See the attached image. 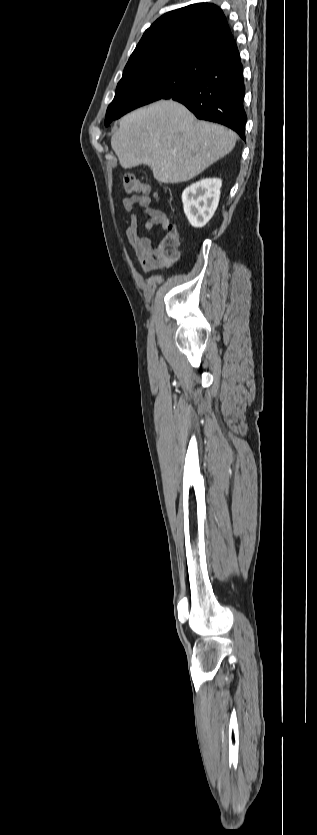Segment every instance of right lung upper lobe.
<instances>
[{
  "label": "right lung upper lobe",
  "mask_w": 317,
  "mask_h": 835,
  "mask_svg": "<svg viewBox=\"0 0 317 835\" xmlns=\"http://www.w3.org/2000/svg\"><path fill=\"white\" fill-rule=\"evenodd\" d=\"M233 41L223 11L198 3L168 12L144 33L123 75L160 63L196 56Z\"/></svg>",
  "instance_id": "right-lung-upper-lobe-1"
}]
</instances>
